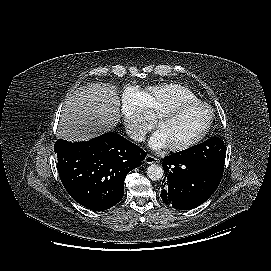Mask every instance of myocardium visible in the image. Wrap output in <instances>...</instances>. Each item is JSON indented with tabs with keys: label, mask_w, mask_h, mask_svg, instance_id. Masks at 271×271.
Returning a JSON list of instances; mask_svg holds the SVG:
<instances>
[{
	"label": "myocardium",
	"mask_w": 271,
	"mask_h": 271,
	"mask_svg": "<svg viewBox=\"0 0 271 271\" xmlns=\"http://www.w3.org/2000/svg\"><path fill=\"white\" fill-rule=\"evenodd\" d=\"M194 106H204L205 108H207L208 112H209V119L206 123V125L204 126V128L191 140L180 144V145H174V146H168V149L172 152H180V151H184L187 150L195 145H197L209 132L213 120H214V111L212 109V107L207 104L206 102L200 101V100H192V101H186V102H181V103H177L175 105H172L162 111H160L159 113H157L155 115V119H154V124L155 126L158 128L159 123L166 118L172 117L188 108L194 107Z\"/></svg>",
	"instance_id": "myocardium-1"
}]
</instances>
